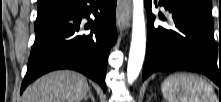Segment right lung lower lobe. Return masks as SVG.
Here are the masks:
<instances>
[{"instance_id": "right-lung-lower-lobe-1", "label": "right lung lower lobe", "mask_w": 221, "mask_h": 102, "mask_svg": "<svg viewBox=\"0 0 221 102\" xmlns=\"http://www.w3.org/2000/svg\"><path fill=\"white\" fill-rule=\"evenodd\" d=\"M117 0H74L72 6L35 28L27 73L20 93L35 79L57 69L79 71L99 83L104 81L110 48L116 43ZM90 14L95 20L90 19ZM89 25L83 28L82 19ZM91 29L84 33V29Z\"/></svg>"}]
</instances>
